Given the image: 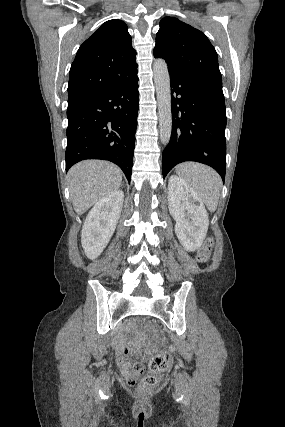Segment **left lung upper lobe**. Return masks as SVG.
Segmentation results:
<instances>
[{"label":"left lung upper lobe","mask_w":285,"mask_h":427,"mask_svg":"<svg viewBox=\"0 0 285 427\" xmlns=\"http://www.w3.org/2000/svg\"><path fill=\"white\" fill-rule=\"evenodd\" d=\"M153 54L167 62L169 73L222 86L214 47L201 31L177 18L165 17L160 21Z\"/></svg>","instance_id":"1"}]
</instances>
